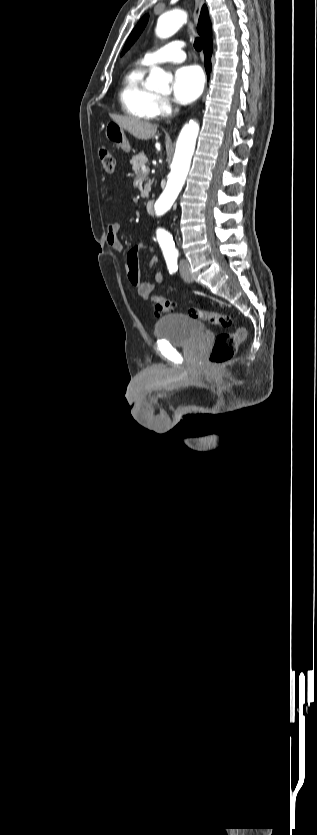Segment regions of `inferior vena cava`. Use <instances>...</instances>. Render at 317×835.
<instances>
[{"mask_svg": "<svg viewBox=\"0 0 317 835\" xmlns=\"http://www.w3.org/2000/svg\"><path fill=\"white\" fill-rule=\"evenodd\" d=\"M177 112H179V108H178V107H175V109H174V113H177Z\"/></svg>", "mask_w": 317, "mask_h": 835, "instance_id": "obj_1", "label": "inferior vena cava"}]
</instances>
